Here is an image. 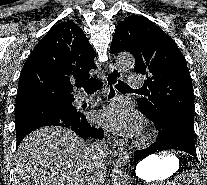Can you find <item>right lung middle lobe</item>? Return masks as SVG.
<instances>
[{"label": "right lung middle lobe", "instance_id": "obj_1", "mask_svg": "<svg viewBox=\"0 0 207 185\" xmlns=\"http://www.w3.org/2000/svg\"><path fill=\"white\" fill-rule=\"evenodd\" d=\"M53 119L58 122H77L82 118L81 112L70 103H59L38 106L15 111V128L25 123L42 119Z\"/></svg>", "mask_w": 207, "mask_h": 185}]
</instances>
